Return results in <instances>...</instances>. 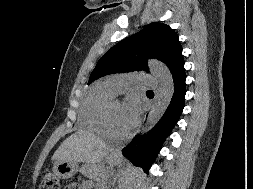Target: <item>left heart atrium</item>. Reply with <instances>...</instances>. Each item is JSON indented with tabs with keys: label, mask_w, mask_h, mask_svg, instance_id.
<instances>
[{
	"label": "left heart atrium",
	"mask_w": 253,
	"mask_h": 189,
	"mask_svg": "<svg viewBox=\"0 0 253 189\" xmlns=\"http://www.w3.org/2000/svg\"><path fill=\"white\" fill-rule=\"evenodd\" d=\"M125 118L130 126L133 127L139 118L140 106L137 98L130 97L124 105Z\"/></svg>",
	"instance_id": "39dd6f15"
}]
</instances>
